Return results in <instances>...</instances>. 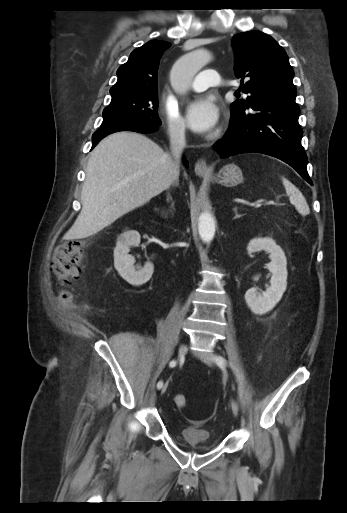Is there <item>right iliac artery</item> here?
Segmentation results:
<instances>
[{"instance_id":"right-iliac-artery-1","label":"right iliac artery","mask_w":347,"mask_h":513,"mask_svg":"<svg viewBox=\"0 0 347 513\" xmlns=\"http://www.w3.org/2000/svg\"><path fill=\"white\" fill-rule=\"evenodd\" d=\"M169 366H170L171 368L175 367V366H176V360H172V361L169 363ZM162 387H163V382H162V381H159V382L157 383V388H158V389H160V388H162Z\"/></svg>"}]
</instances>
